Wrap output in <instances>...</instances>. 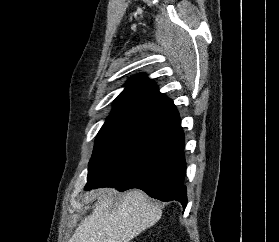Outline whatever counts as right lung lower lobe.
I'll use <instances>...</instances> for the list:
<instances>
[{
	"label": "right lung lower lobe",
	"mask_w": 279,
	"mask_h": 242,
	"mask_svg": "<svg viewBox=\"0 0 279 242\" xmlns=\"http://www.w3.org/2000/svg\"><path fill=\"white\" fill-rule=\"evenodd\" d=\"M156 133L99 179L87 180L85 189L138 188L161 201L187 204L184 184L186 162L184 133L177 110L161 117Z\"/></svg>",
	"instance_id": "1"
}]
</instances>
